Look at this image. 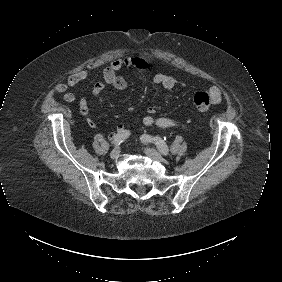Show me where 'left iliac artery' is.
Instances as JSON below:
<instances>
[{
  "instance_id": "1",
  "label": "left iliac artery",
  "mask_w": 282,
  "mask_h": 282,
  "mask_svg": "<svg viewBox=\"0 0 282 282\" xmlns=\"http://www.w3.org/2000/svg\"><path fill=\"white\" fill-rule=\"evenodd\" d=\"M141 141L143 143H154L158 150L163 154V155H168L169 149L166 143L160 138V137H153L148 134H144L141 136Z\"/></svg>"
}]
</instances>
